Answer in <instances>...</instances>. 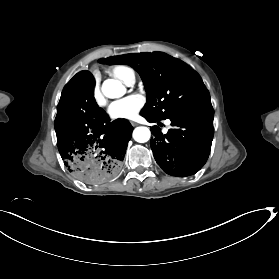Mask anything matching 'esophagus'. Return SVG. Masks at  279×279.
Wrapping results in <instances>:
<instances>
[{
	"label": "esophagus",
	"instance_id": "34e87169",
	"mask_svg": "<svg viewBox=\"0 0 279 279\" xmlns=\"http://www.w3.org/2000/svg\"><path fill=\"white\" fill-rule=\"evenodd\" d=\"M131 124H132L133 126H137V125H138V123H136L135 121H131Z\"/></svg>",
	"mask_w": 279,
	"mask_h": 279
}]
</instances>
